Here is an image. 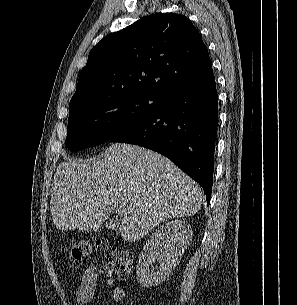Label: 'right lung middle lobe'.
Masks as SVG:
<instances>
[{"instance_id":"1","label":"right lung middle lobe","mask_w":297,"mask_h":305,"mask_svg":"<svg viewBox=\"0 0 297 305\" xmlns=\"http://www.w3.org/2000/svg\"><path fill=\"white\" fill-rule=\"evenodd\" d=\"M161 95L138 91L89 102L70 111L66 146L79 151L110 140L152 113Z\"/></svg>"}]
</instances>
